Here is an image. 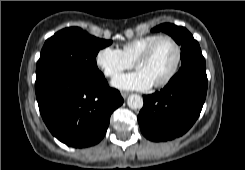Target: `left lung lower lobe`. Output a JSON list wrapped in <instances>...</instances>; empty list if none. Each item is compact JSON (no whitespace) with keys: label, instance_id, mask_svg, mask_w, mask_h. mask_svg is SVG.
Wrapping results in <instances>:
<instances>
[{"label":"left lung lower lobe","instance_id":"left-lung-lower-lobe-1","mask_svg":"<svg viewBox=\"0 0 245 170\" xmlns=\"http://www.w3.org/2000/svg\"><path fill=\"white\" fill-rule=\"evenodd\" d=\"M207 84L206 69L181 68L160 92L144 96L138 115L143 135L159 142L186 133L200 115Z\"/></svg>","mask_w":245,"mask_h":170}]
</instances>
